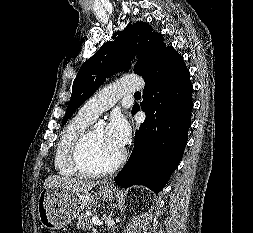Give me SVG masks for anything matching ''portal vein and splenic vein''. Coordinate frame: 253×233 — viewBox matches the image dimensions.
I'll return each mask as SVG.
<instances>
[{
    "instance_id": "portal-vein-and-splenic-vein-1",
    "label": "portal vein and splenic vein",
    "mask_w": 253,
    "mask_h": 233,
    "mask_svg": "<svg viewBox=\"0 0 253 233\" xmlns=\"http://www.w3.org/2000/svg\"><path fill=\"white\" fill-rule=\"evenodd\" d=\"M92 222L96 225H99V226L102 225V222L99 220V218H97L95 216L92 217Z\"/></svg>"
}]
</instances>
